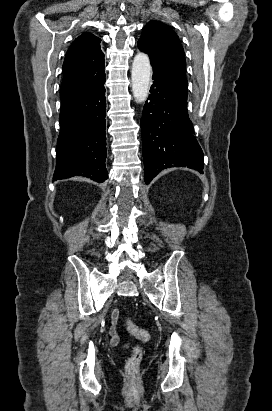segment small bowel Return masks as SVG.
<instances>
[{
	"label": "small bowel",
	"instance_id": "c3829d8e",
	"mask_svg": "<svg viewBox=\"0 0 272 411\" xmlns=\"http://www.w3.org/2000/svg\"><path fill=\"white\" fill-rule=\"evenodd\" d=\"M118 319H119V311L115 309L111 314V326L109 329L110 344L114 347H117L121 344L120 337L116 329Z\"/></svg>",
	"mask_w": 272,
	"mask_h": 411
}]
</instances>
